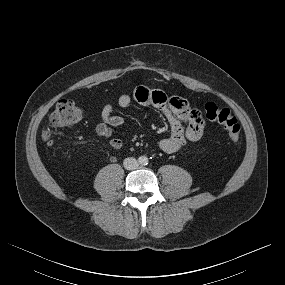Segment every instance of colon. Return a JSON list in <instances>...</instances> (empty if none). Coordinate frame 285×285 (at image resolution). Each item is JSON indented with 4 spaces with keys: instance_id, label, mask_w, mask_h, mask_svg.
<instances>
[{
    "instance_id": "5ec220e1",
    "label": "colon",
    "mask_w": 285,
    "mask_h": 285,
    "mask_svg": "<svg viewBox=\"0 0 285 285\" xmlns=\"http://www.w3.org/2000/svg\"><path fill=\"white\" fill-rule=\"evenodd\" d=\"M207 119L217 122L223 126L229 139L237 144L242 137V128L237 117L226 107L215 103H207L204 106ZM82 109L69 99L60 100L49 117L48 127L43 132V139L52 144L57 132L69 128L79 122L82 118Z\"/></svg>"
}]
</instances>
